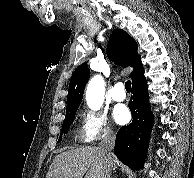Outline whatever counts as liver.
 <instances>
[{
    "mask_svg": "<svg viewBox=\"0 0 194 178\" xmlns=\"http://www.w3.org/2000/svg\"><path fill=\"white\" fill-rule=\"evenodd\" d=\"M112 155V166L118 163ZM105 162L98 147H80L57 155L46 178H102Z\"/></svg>",
    "mask_w": 194,
    "mask_h": 178,
    "instance_id": "liver-1",
    "label": "liver"
}]
</instances>
